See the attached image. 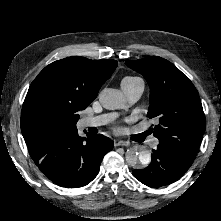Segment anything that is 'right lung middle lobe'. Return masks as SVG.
Listing matches in <instances>:
<instances>
[{"mask_svg": "<svg viewBox=\"0 0 221 221\" xmlns=\"http://www.w3.org/2000/svg\"><path fill=\"white\" fill-rule=\"evenodd\" d=\"M63 119L67 122L69 131L76 130V122L79 119L78 110L74 109L64 112Z\"/></svg>", "mask_w": 221, "mask_h": 221, "instance_id": "1", "label": "right lung middle lobe"}]
</instances>
